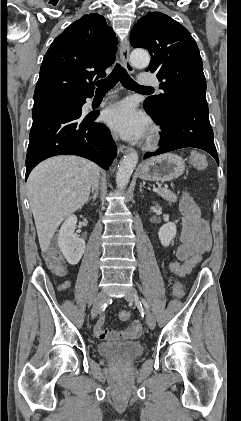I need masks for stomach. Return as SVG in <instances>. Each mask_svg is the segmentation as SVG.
<instances>
[{
  "instance_id": "0dacf381",
  "label": "stomach",
  "mask_w": 241,
  "mask_h": 421,
  "mask_svg": "<svg viewBox=\"0 0 241 421\" xmlns=\"http://www.w3.org/2000/svg\"><path fill=\"white\" fill-rule=\"evenodd\" d=\"M184 170V160L176 154L167 153L144 162L138 174L142 180L164 182L178 178Z\"/></svg>"
}]
</instances>
